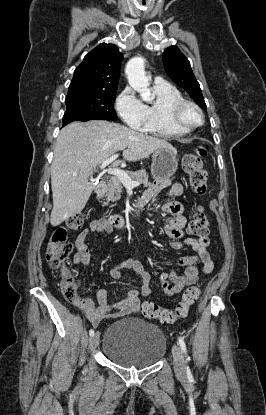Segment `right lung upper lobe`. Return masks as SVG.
I'll return each mask as SVG.
<instances>
[{
    "label": "right lung upper lobe",
    "mask_w": 266,
    "mask_h": 415,
    "mask_svg": "<svg viewBox=\"0 0 266 415\" xmlns=\"http://www.w3.org/2000/svg\"><path fill=\"white\" fill-rule=\"evenodd\" d=\"M122 59L116 45L100 44L75 69L68 92L117 90Z\"/></svg>",
    "instance_id": "cb5924a9"
}]
</instances>
